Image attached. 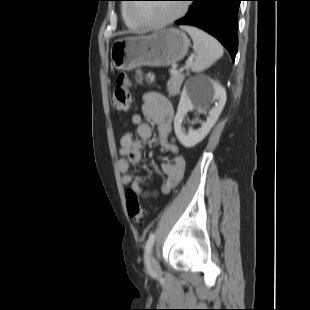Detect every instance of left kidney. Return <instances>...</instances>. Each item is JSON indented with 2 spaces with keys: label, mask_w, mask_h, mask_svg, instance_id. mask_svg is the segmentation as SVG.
Masks as SVG:
<instances>
[{
  "label": "left kidney",
  "mask_w": 310,
  "mask_h": 310,
  "mask_svg": "<svg viewBox=\"0 0 310 310\" xmlns=\"http://www.w3.org/2000/svg\"><path fill=\"white\" fill-rule=\"evenodd\" d=\"M210 94L218 101L217 105L210 110L209 117L206 122L202 123L200 129H190L188 133H186L181 125L187 112L194 108L191 99L197 98L198 105H203L204 99ZM225 103V89L211 79H204L198 82L190 91L184 89L174 118V131L179 142L187 148L194 147L201 142L217 122Z\"/></svg>",
  "instance_id": "5707ae66"
}]
</instances>
